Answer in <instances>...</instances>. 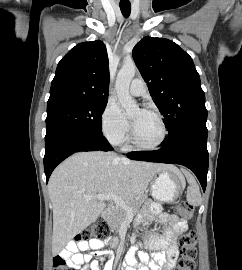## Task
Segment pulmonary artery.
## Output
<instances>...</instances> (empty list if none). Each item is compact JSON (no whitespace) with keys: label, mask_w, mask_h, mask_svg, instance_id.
Listing matches in <instances>:
<instances>
[{"label":"pulmonary artery","mask_w":242,"mask_h":270,"mask_svg":"<svg viewBox=\"0 0 242 270\" xmlns=\"http://www.w3.org/2000/svg\"><path fill=\"white\" fill-rule=\"evenodd\" d=\"M131 95L133 96H142L146 92V85L142 79H134L131 82L130 89Z\"/></svg>","instance_id":"1"}]
</instances>
